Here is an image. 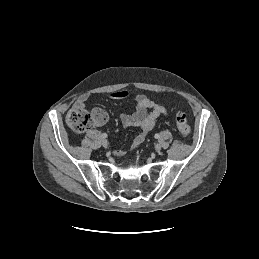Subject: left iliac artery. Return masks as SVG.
<instances>
[{
    "instance_id": "left-iliac-artery-1",
    "label": "left iliac artery",
    "mask_w": 259,
    "mask_h": 259,
    "mask_svg": "<svg viewBox=\"0 0 259 259\" xmlns=\"http://www.w3.org/2000/svg\"><path fill=\"white\" fill-rule=\"evenodd\" d=\"M160 137L159 134H155V138L158 139Z\"/></svg>"
}]
</instances>
